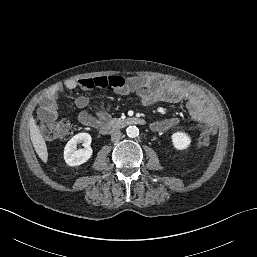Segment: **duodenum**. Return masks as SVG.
<instances>
[{
    "label": "duodenum",
    "instance_id": "obj_1",
    "mask_svg": "<svg viewBox=\"0 0 257 257\" xmlns=\"http://www.w3.org/2000/svg\"><path fill=\"white\" fill-rule=\"evenodd\" d=\"M130 125H145V120L140 117H125V118H116L104 122L101 126V132L103 134H110L118 129L124 128Z\"/></svg>",
    "mask_w": 257,
    "mask_h": 257
}]
</instances>
